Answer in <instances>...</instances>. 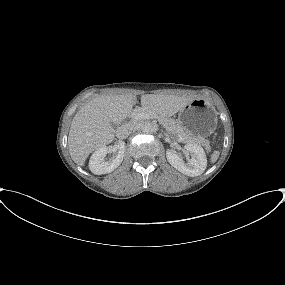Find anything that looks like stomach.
Listing matches in <instances>:
<instances>
[{
	"mask_svg": "<svg viewBox=\"0 0 285 285\" xmlns=\"http://www.w3.org/2000/svg\"><path fill=\"white\" fill-rule=\"evenodd\" d=\"M218 122L217 111L213 104L203 98H196L178 113L177 123L185 133L200 139L211 135Z\"/></svg>",
	"mask_w": 285,
	"mask_h": 285,
	"instance_id": "stomach-1",
	"label": "stomach"
}]
</instances>
